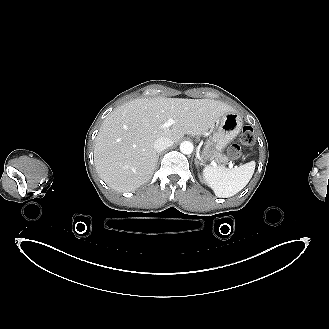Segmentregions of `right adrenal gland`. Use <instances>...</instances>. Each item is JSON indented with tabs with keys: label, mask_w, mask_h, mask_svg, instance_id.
<instances>
[{
	"label": "right adrenal gland",
	"mask_w": 329,
	"mask_h": 329,
	"mask_svg": "<svg viewBox=\"0 0 329 329\" xmlns=\"http://www.w3.org/2000/svg\"><path fill=\"white\" fill-rule=\"evenodd\" d=\"M159 155H160V154H157V160H158V158H159Z\"/></svg>",
	"instance_id": "obj_1"
}]
</instances>
